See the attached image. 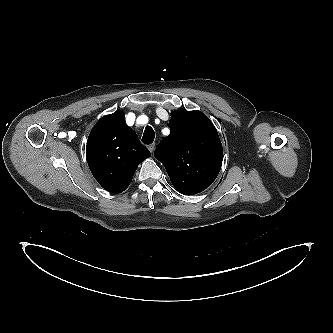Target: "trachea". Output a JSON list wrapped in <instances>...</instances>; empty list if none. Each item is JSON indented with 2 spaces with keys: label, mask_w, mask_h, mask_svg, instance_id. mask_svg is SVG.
I'll return each mask as SVG.
<instances>
[{
  "label": "trachea",
  "mask_w": 333,
  "mask_h": 333,
  "mask_svg": "<svg viewBox=\"0 0 333 333\" xmlns=\"http://www.w3.org/2000/svg\"><path fill=\"white\" fill-rule=\"evenodd\" d=\"M154 138H155L154 130L152 129V127L146 126L142 137V142L144 144H151L154 141Z\"/></svg>",
  "instance_id": "trachea-1"
}]
</instances>
